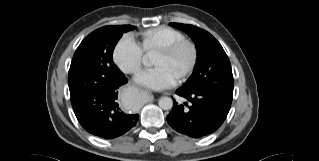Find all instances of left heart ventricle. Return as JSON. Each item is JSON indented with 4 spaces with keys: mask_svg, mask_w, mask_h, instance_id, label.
<instances>
[{
    "mask_svg": "<svg viewBox=\"0 0 319 161\" xmlns=\"http://www.w3.org/2000/svg\"><path fill=\"white\" fill-rule=\"evenodd\" d=\"M190 60V50L186 47L181 48L174 55L170 57H161L155 55L152 63L156 66L166 69L169 74L176 79L185 69Z\"/></svg>",
    "mask_w": 319,
    "mask_h": 161,
    "instance_id": "obj_1",
    "label": "left heart ventricle"
}]
</instances>
